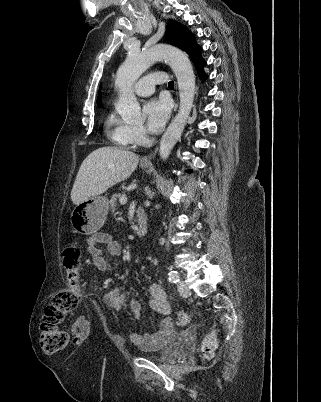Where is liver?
I'll return each mask as SVG.
<instances>
[{"mask_svg":"<svg viewBox=\"0 0 321 402\" xmlns=\"http://www.w3.org/2000/svg\"><path fill=\"white\" fill-rule=\"evenodd\" d=\"M138 163L139 156L128 150L116 147L94 150L79 168L71 191L72 202L77 205L104 193L111 186L127 179Z\"/></svg>","mask_w":321,"mask_h":402,"instance_id":"1","label":"liver"}]
</instances>
